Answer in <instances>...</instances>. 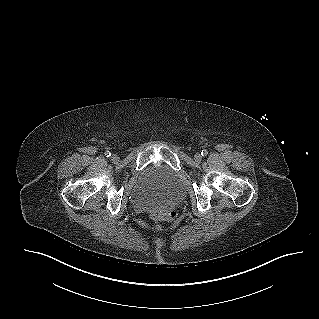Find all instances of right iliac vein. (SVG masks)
Returning a JSON list of instances; mask_svg holds the SVG:
<instances>
[{"label": "right iliac vein", "mask_w": 319, "mask_h": 319, "mask_svg": "<svg viewBox=\"0 0 319 319\" xmlns=\"http://www.w3.org/2000/svg\"><path fill=\"white\" fill-rule=\"evenodd\" d=\"M119 156L117 155V154H113L112 156H111V160H112V162H114V163H116V162H118L119 161Z\"/></svg>", "instance_id": "right-iliac-vein-1"}]
</instances>
